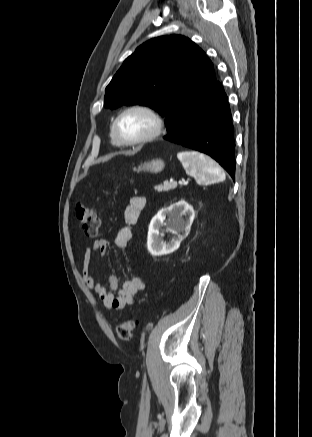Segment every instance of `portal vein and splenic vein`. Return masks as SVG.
Masks as SVG:
<instances>
[{
    "label": "portal vein and splenic vein",
    "instance_id": "18ae733b",
    "mask_svg": "<svg viewBox=\"0 0 312 437\" xmlns=\"http://www.w3.org/2000/svg\"><path fill=\"white\" fill-rule=\"evenodd\" d=\"M187 183H188L187 180H180V181H179V184H187Z\"/></svg>",
    "mask_w": 312,
    "mask_h": 437
}]
</instances>
